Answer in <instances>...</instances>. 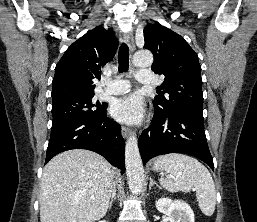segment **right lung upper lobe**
I'll use <instances>...</instances> for the list:
<instances>
[{"label": "right lung upper lobe", "mask_w": 257, "mask_h": 222, "mask_svg": "<svg viewBox=\"0 0 257 222\" xmlns=\"http://www.w3.org/2000/svg\"><path fill=\"white\" fill-rule=\"evenodd\" d=\"M117 47L114 32L102 26L70 45L55 68L52 100L94 95L93 79H100L101 67L112 60Z\"/></svg>", "instance_id": "1"}]
</instances>
